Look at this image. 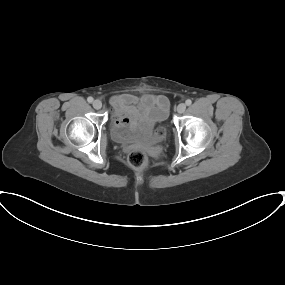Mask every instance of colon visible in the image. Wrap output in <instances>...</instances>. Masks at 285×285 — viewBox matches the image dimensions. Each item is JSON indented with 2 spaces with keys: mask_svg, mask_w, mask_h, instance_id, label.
<instances>
[{
  "mask_svg": "<svg viewBox=\"0 0 285 285\" xmlns=\"http://www.w3.org/2000/svg\"><path fill=\"white\" fill-rule=\"evenodd\" d=\"M156 134L163 136L165 134V130L162 127H158L156 129ZM127 159L129 165L135 169L145 168L148 164V157L142 150H132L128 154Z\"/></svg>",
  "mask_w": 285,
  "mask_h": 285,
  "instance_id": "1",
  "label": "colon"
}]
</instances>
